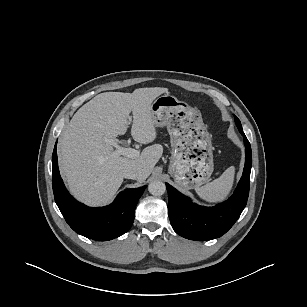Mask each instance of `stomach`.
I'll return each mask as SVG.
<instances>
[{
  "label": "stomach",
  "instance_id": "stomach-1",
  "mask_svg": "<svg viewBox=\"0 0 307 307\" xmlns=\"http://www.w3.org/2000/svg\"><path fill=\"white\" fill-rule=\"evenodd\" d=\"M151 114L155 126H166L169 132V173L177 185L184 189L201 187L214 170L212 141L201 114L168 93L152 102Z\"/></svg>",
  "mask_w": 307,
  "mask_h": 307
}]
</instances>
